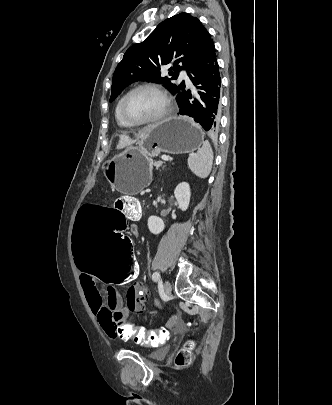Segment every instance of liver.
Returning <instances> with one entry per match:
<instances>
[{
  "label": "liver",
  "instance_id": "obj_1",
  "mask_svg": "<svg viewBox=\"0 0 332 405\" xmlns=\"http://www.w3.org/2000/svg\"><path fill=\"white\" fill-rule=\"evenodd\" d=\"M155 125H150L147 126L145 128H143L141 131H139L136 135H135V139H132L129 135L123 134L119 136V142L116 146L117 149H123L127 146L132 145L133 143H135L137 140L143 138L146 134H148L149 132H151V130L153 129Z\"/></svg>",
  "mask_w": 332,
  "mask_h": 405
}]
</instances>
